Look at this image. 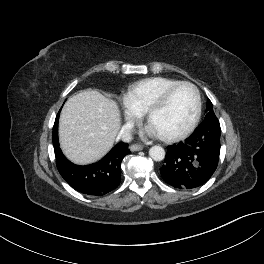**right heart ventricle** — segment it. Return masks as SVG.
<instances>
[{"mask_svg":"<svg viewBox=\"0 0 264 264\" xmlns=\"http://www.w3.org/2000/svg\"><path fill=\"white\" fill-rule=\"evenodd\" d=\"M178 81L162 76L145 78L130 86L124 97L125 102L138 112L145 113L167 87Z\"/></svg>","mask_w":264,"mask_h":264,"instance_id":"right-heart-ventricle-1","label":"right heart ventricle"}]
</instances>
